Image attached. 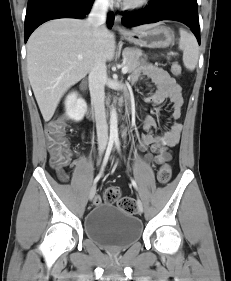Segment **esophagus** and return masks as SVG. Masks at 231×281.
<instances>
[{
    "label": "esophagus",
    "mask_w": 231,
    "mask_h": 281,
    "mask_svg": "<svg viewBox=\"0 0 231 281\" xmlns=\"http://www.w3.org/2000/svg\"><path fill=\"white\" fill-rule=\"evenodd\" d=\"M120 22H121V16L120 15H116L115 16V30H117L118 32H126V29L123 28L121 25H120Z\"/></svg>",
    "instance_id": "esophagus-1"
}]
</instances>
